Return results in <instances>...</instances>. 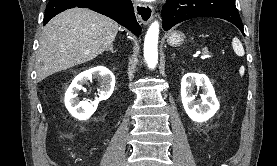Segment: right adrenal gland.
<instances>
[{
  "label": "right adrenal gland",
  "instance_id": "obj_1",
  "mask_svg": "<svg viewBox=\"0 0 277 166\" xmlns=\"http://www.w3.org/2000/svg\"><path fill=\"white\" fill-rule=\"evenodd\" d=\"M107 51H110L111 53H116V51H114V49H113V45H111L108 49H107Z\"/></svg>",
  "mask_w": 277,
  "mask_h": 166
}]
</instances>
